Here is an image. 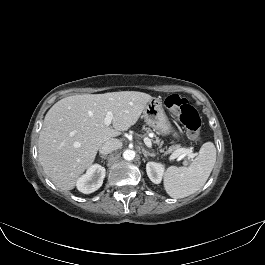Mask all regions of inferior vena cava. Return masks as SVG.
<instances>
[{
  "mask_svg": "<svg viewBox=\"0 0 265 265\" xmlns=\"http://www.w3.org/2000/svg\"><path fill=\"white\" fill-rule=\"evenodd\" d=\"M122 143L117 139H111L104 144L101 145L99 148V152L103 155L109 154L115 150H117L119 147H121Z\"/></svg>",
  "mask_w": 265,
  "mask_h": 265,
  "instance_id": "obj_1",
  "label": "inferior vena cava"
}]
</instances>
